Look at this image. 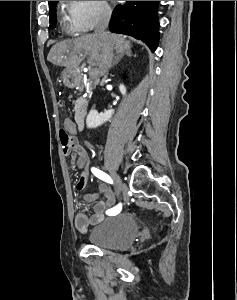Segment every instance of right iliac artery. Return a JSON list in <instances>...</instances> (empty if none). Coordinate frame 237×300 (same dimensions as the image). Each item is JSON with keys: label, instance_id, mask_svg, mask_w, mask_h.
I'll return each mask as SVG.
<instances>
[{"label": "right iliac artery", "instance_id": "1", "mask_svg": "<svg viewBox=\"0 0 237 300\" xmlns=\"http://www.w3.org/2000/svg\"><path fill=\"white\" fill-rule=\"evenodd\" d=\"M91 171L92 173L98 177L99 179L107 182V183H110V184H113V180L111 179V177L109 175H107L106 173H104L103 171L97 169V168H91ZM122 209V204L119 203L117 206H115L114 208L110 209L111 211H115V210H121ZM109 211V210H108ZM107 211V213H108Z\"/></svg>", "mask_w": 237, "mask_h": 300}]
</instances>
